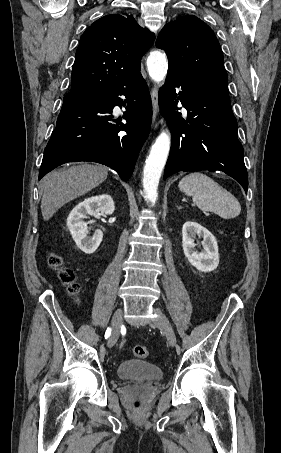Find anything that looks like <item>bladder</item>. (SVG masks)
<instances>
[{"label":"bladder","mask_w":281,"mask_h":453,"mask_svg":"<svg viewBox=\"0 0 281 453\" xmlns=\"http://www.w3.org/2000/svg\"><path fill=\"white\" fill-rule=\"evenodd\" d=\"M117 374L122 379L142 381H159L163 377L162 371L147 362L124 361L117 368Z\"/></svg>","instance_id":"1"}]
</instances>
